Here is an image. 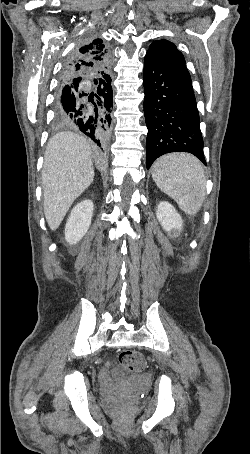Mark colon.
Returning a JSON list of instances; mask_svg holds the SVG:
<instances>
[{"instance_id":"5ec220e1","label":"colon","mask_w":250,"mask_h":454,"mask_svg":"<svg viewBox=\"0 0 250 454\" xmlns=\"http://www.w3.org/2000/svg\"><path fill=\"white\" fill-rule=\"evenodd\" d=\"M118 363L123 371L127 373H139L145 368V359L144 356L134 350H124L118 356ZM124 408L122 406L116 407L114 412L116 414H121Z\"/></svg>"}]
</instances>
